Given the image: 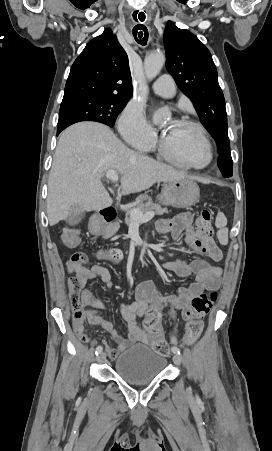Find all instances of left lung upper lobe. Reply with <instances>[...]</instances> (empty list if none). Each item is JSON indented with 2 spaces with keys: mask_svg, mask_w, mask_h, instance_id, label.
Here are the masks:
<instances>
[{
  "mask_svg": "<svg viewBox=\"0 0 272 451\" xmlns=\"http://www.w3.org/2000/svg\"><path fill=\"white\" fill-rule=\"evenodd\" d=\"M166 68L180 89L194 103L200 121L218 144V167L231 177L233 161L227 131L225 99L218 74L206 46L190 31L168 21L164 30Z\"/></svg>",
  "mask_w": 272,
  "mask_h": 451,
  "instance_id": "left-lung-upper-lobe-1",
  "label": "left lung upper lobe"
}]
</instances>
